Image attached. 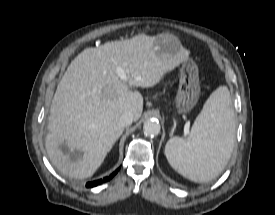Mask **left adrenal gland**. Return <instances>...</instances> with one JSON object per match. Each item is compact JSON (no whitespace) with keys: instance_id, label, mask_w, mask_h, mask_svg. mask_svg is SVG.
Segmentation results:
<instances>
[{"instance_id":"1","label":"left adrenal gland","mask_w":275,"mask_h":215,"mask_svg":"<svg viewBox=\"0 0 275 215\" xmlns=\"http://www.w3.org/2000/svg\"><path fill=\"white\" fill-rule=\"evenodd\" d=\"M173 123H174V125H173V128H172V131H171V134H173V132H174V130L176 129V120L174 119L173 120Z\"/></svg>"}]
</instances>
